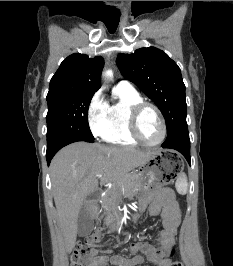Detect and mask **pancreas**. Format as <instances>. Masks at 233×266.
Here are the masks:
<instances>
[{
    "mask_svg": "<svg viewBox=\"0 0 233 266\" xmlns=\"http://www.w3.org/2000/svg\"><path fill=\"white\" fill-rule=\"evenodd\" d=\"M141 186V179L137 173L129 174L113 185L101 201L102 207L106 210V221L112 218L111 212L120 203L122 198L133 195Z\"/></svg>",
    "mask_w": 233,
    "mask_h": 266,
    "instance_id": "pancreas-1",
    "label": "pancreas"
}]
</instances>
